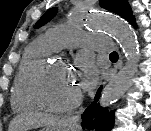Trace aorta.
Returning <instances> with one entry per match:
<instances>
[{"instance_id":"762f6f07","label":"aorta","mask_w":151,"mask_h":131,"mask_svg":"<svg viewBox=\"0 0 151 131\" xmlns=\"http://www.w3.org/2000/svg\"><path fill=\"white\" fill-rule=\"evenodd\" d=\"M86 24L91 28L100 29L113 35L118 40L127 59L124 67L103 89L99 103L101 107H108L119 100L131 86L140 60L138 43L132 28L120 17L97 14L89 16Z\"/></svg>"}]
</instances>
